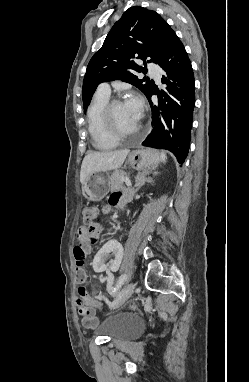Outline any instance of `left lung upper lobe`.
I'll return each instance as SVG.
<instances>
[{
    "instance_id": "1",
    "label": "left lung upper lobe",
    "mask_w": 249,
    "mask_h": 382,
    "mask_svg": "<svg viewBox=\"0 0 249 382\" xmlns=\"http://www.w3.org/2000/svg\"><path fill=\"white\" fill-rule=\"evenodd\" d=\"M177 35L155 11L134 6L124 12L108 33L103 46L91 58L83 82L84 112L97 86L106 81L122 80L139 88L146 96L154 82L138 79L134 72L146 70L148 62L158 64L169 53ZM144 61V68L136 60Z\"/></svg>"
}]
</instances>
